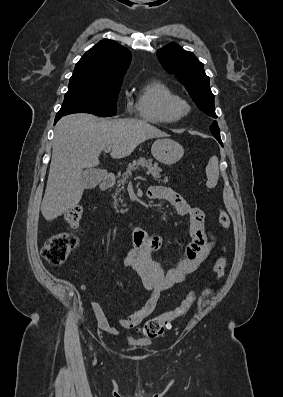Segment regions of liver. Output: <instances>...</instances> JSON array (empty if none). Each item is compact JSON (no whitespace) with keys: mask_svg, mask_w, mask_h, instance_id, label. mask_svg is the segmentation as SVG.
Returning <instances> with one entry per match:
<instances>
[{"mask_svg":"<svg viewBox=\"0 0 283 397\" xmlns=\"http://www.w3.org/2000/svg\"><path fill=\"white\" fill-rule=\"evenodd\" d=\"M165 136V132L139 119H99L87 113L63 117L54 129L42 215L52 221L80 202L86 188L83 169L98 166L106 147L112 148V158L120 159L142 142Z\"/></svg>","mask_w":283,"mask_h":397,"instance_id":"6515ba94","label":"liver"}]
</instances>
